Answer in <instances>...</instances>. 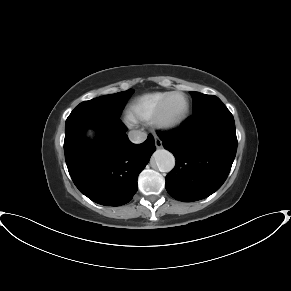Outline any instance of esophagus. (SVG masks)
<instances>
[{
  "instance_id": "obj_1",
  "label": "esophagus",
  "mask_w": 291,
  "mask_h": 291,
  "mask_svg": "<svg viewBox=\"0 0 291 291\" xmlns=\"http://www.w3.org/2000/svg\"><path fill=\"white\" fill-rule=\"evenodd\" d=\"M154 141H155V146H156V148H162V141L159 139V138H157L156 136L154 137Z\"/></svg>"
}]
</instances>
